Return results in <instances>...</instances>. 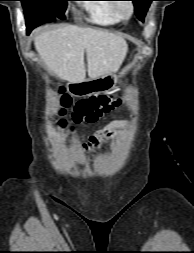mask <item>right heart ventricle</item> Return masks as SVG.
<instances>
[{
	"label": "right heart ventricle",
	"instance_id": "1",
	"mask_svg": "<svg viewBox=\"0 0 194 253\" xmlns=\"http://www.w3.org/2000/svg\"><path fill=\"white\" fill-rule=\"evenodd\" d=\"M82 7L88 12L91 21L97 24L115 25L121 21L111 0L86 1Z\"/></svg>",
	"mask_w": 194,
	"mask_h": 253
}]
</instances>
